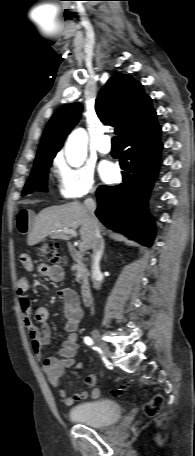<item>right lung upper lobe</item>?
<instances>
[{
    "label": "right lung upper lobe",
    "instance_id": "right-lung-upper-lobe-1",
    "mask_svg": "<svg viewBox=\"0 0 195 456\" xmlns=\"http://www.w3.org/2000/svg\"><path fill=\"white\" fill-rule=\"evenodd\" d=\"M95 110L104 124L115 127L121 141L157 124L151 98L145 95L142 85L127 74H116L108 80L96 99ZM81 111L79 103H72L54 113L44 131L35 164L55 157L79 121Z\"/></svg>",
    "mask_w": 195,
    "mask_h": 456
}]
</instances>
